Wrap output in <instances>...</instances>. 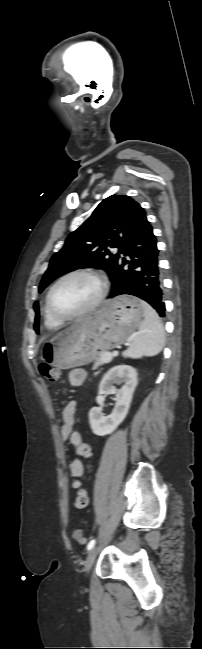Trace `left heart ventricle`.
Returning <instances> with one entry per match:
<instances>
[{"label":"left heart ventricle","mask_w":202,"mask_h":649,"mask_svg":"<svg viewBox=\"0 0 202 649\" xmlns=\"http://www.w3.org/2000/svg\"><path fill=\"white\" fill-rule=\"evenodd\" d=\"M99 293L98 282L86 275H75L62 281L52 295V305L63 315L77 313L89 306Z\"/></svg>","instance_id":"1"}]
</instances>
